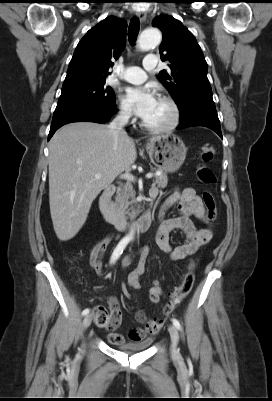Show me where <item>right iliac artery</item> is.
Wrapping results in <instances>:
<instances>
[{
  "instance_id": "1",
  "label": "right iliac artery",
  "mask_w": 272,
  "mask_h": 401,
  "mask_svg": "<svg viewBox=\"0 0 272 401\" xmlns=\"http://www.w3.org/2000/svg\"><path fill=\"white\" fill-rule=\"evenodd\" d=\"M128 242H129V239H127V238H124L119 242V244L117 245V247L115 248V250L112 253L110 263H114L120 257V255L122 254V252L125 249ZM89 311L90 310L88 308H86L83 310L82 314L87 315L89 313Z\"/></svg>"
}]
</instances>
